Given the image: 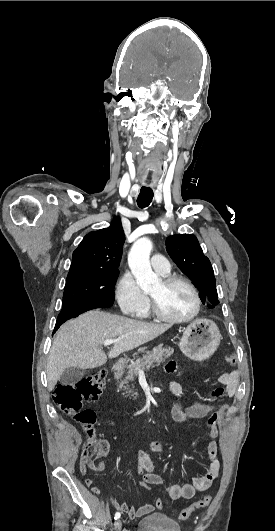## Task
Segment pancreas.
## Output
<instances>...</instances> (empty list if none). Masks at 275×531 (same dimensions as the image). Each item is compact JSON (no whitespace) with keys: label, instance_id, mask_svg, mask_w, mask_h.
<instances>
[{"label":"pancreas","instance_id":"1","mask_svg":"<svg viewBox=\"0 0 275 531\" xmlns=\"http://www.w3.org/2000/svg\"><path fill=\"white\" fill-rule=\"evenodd\" d=\"M174 349H171V347H164V345H158V347H154L153 351H149V353H146V355H143L142 359H136L134 363H126L124 359H121V361H118L116 363L117 371L114 373V379H117V381H120L118 387L119 389H122V391H128V393H132L131 397H133V401H136L138 397V393H135V389H130V381H135V377H138V371L139 369H142V371H147V369H150L151 365L153 363H163L165 359H169L171 355H173ZM127 369V371H126ZM125 395V393H123ZM125 397H129V395H125Z\"/></svg>","mask_w":275,"mask_h":531}]
</instances>
